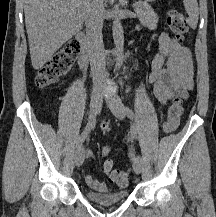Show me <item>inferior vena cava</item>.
Wrapping results in <instances>:
<instances>
[{"instance_id": "602c4592", "label": "inferior vena cava", "mask_w": 216, "mask_h": 217, "mask_svg": "<svg viewBox=\"0 0 216 217\" xmlns=\"http://www.w3.org/2000/svg\"><path fill=\"white\" fill-rule=\"evenodd\" d=\"M104 14L105 9L102 0H90L87 6L85 24L91 73L95 88L101 86L107 80L102 36Z\"/></svg>"}]
</instances>
